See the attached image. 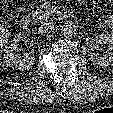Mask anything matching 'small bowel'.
Instances as JSON below:
<instances>
[{"label": "small bowel", "instance_id": "obj_1", "mask_svg": "<svg viewBox=\"0 0 113 113\" xmlns=\"http://www.w3.org/2000/svg\"><path fill=\"white\" fill-rule=\"evenodd\" d=\"M112 6H113V0H110ZM105 22L112 28L113 31V14L107 15L105 17Z\"/></svg>", "mask_w": 113, "mask_h": 113}]
</instances>
